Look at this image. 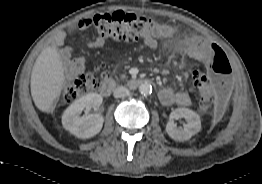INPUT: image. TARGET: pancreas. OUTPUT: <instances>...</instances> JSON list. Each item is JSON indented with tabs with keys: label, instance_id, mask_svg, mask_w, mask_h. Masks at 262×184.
Wrapping results in <instances>:
<instances>
[{
	"label": "pancreas",
	"instance_id": "obj_1",
	"mask_svg": "<svg viewBox=\"0 0 262 184\" xmlns=\"http://www.w3.org/2000/svg\"><path fill=\"white\" fill-rule=\"evenodd\" d=\"M126 76L125 75H121V78H125Z\"/></svg>",
	"mask_w": 262,
	"mask_h": 184
}]
</instances>
